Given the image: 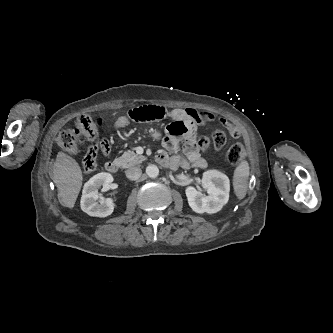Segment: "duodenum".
<instances>
[{
  "label": "duodenum",
  "instance_id": "410a0bca",
  "mask_svg": "<svg viewBox=\"0 0 333 333\" xmlns=\"http://www.w3.org/2000/svg\"><path fill=\"white\" fill-rule=\"evenodd\" d=\"M106 169L110 173H116L119 169V164L116 161H109L106 163Z\"/></svg>",
  "mask_w": 333,
  "mask_h": 333
}]
</instances>
